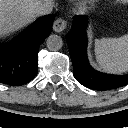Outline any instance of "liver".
Instances as JSON below:
<instances>
[{
    "label": "liver",
    "mask_w": 128,
    "mask_h": 128,
    "mask_svg": "<svg viewBox=\"0 0 128 128\" xmlns=\"http://www.w3.org/2000/svg\"><path fill=\"white\" fill-rule=\"evenodd\" d=\"M53 0H0V38L21 29L35 19V8Z\"/></svg>",
    "instance_id": "liver-1"
}]
</instances>
